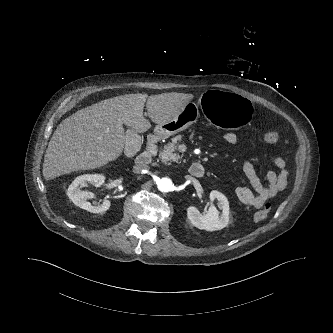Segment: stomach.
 <instances>
[{
    "mask_svg": "<svg viewBox=\"0 0 333 333\" xmlns=\"http://www.w3.org/2000/svg\"><path fill=\"white\" fill-rule=\"evenodd\" d=\"M199 108L209 122L223 128L242 127L248 123L252 115V108L247 99L239 95H231L219 88L204 92L199 101ZM196 116V105L188 102L176 116L158 124L154 133L166 139L188 128Z\"/></svg>",
    "mask_w": 333,
    "mask_h": 333,
    "instance_id": "0dacf381",
    "label": "stomach"
}]
</instances>
